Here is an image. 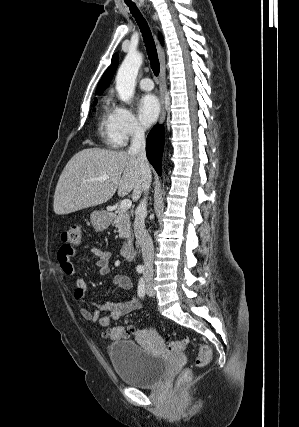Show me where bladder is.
Masks as SVG:
<instances>
[{
	"instance_id": "obj_1",
	"label": "bladder",
	"mask_w": 299,
	"mask_h": 427,
	"mask_svg": "<svg viewBox=\"0 0 299 427\" xmlns=\"http://www.w3.org/2000/svg\"><path fill=\"white\" fill-rule=\"evenodd\" d=\"M109 357L119 379L137 388L154 387L168 369L165 357L149 353L133 340L111 343Z\"/></svg>"
}]
</instances>
